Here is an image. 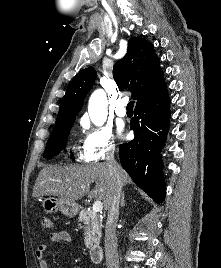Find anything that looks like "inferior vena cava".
Masks as SVG:
<instances>
[{
    "mask_svg": "<svg viewBox=\"0 0 221 268\" xmlns=\"http://www.w3.org/2000/svg\"><path fill=\"white\" fill-rule=\"evenodd\" d=\"M110 174V201L108 206V217L105 227V255L107 268H119L117 252L116 223L119 216V203L122 192L120 179V166L114 159V151L106 157Z\"/></svg>",
    "mask_w": 221,
    "mask_h": 268,
    "instance_id": "inferior-vena-cava-1",
    "label": "inferior vena cava"
}]
</instances>
